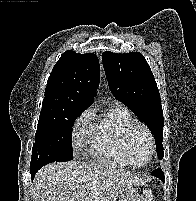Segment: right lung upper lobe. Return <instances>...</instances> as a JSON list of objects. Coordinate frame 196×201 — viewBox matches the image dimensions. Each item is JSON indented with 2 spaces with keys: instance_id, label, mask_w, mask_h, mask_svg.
<instances>
[{
  "instance_id": "obj_1",
  "label": "right lung upper lobe",
  "mask_w": 196,
  "mask_h": 201,
  "mask_svg": "<svg viewBox=\"0 0 196 201\" xmlns=\"http://www.w3.org/2000/svg\"><path fill=\"white\" fill-rule=\"evenodd\" d=\"M99 75L100 65L95 54L64 52L49 76L41 114L88 108L94 101Z\"/></svg>"
}]
</instances>
